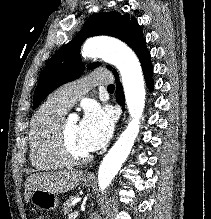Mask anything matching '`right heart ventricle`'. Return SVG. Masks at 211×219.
I'll return each instance as SVG.
<instances>
[{
  "mask_svg": "<svg viewBox=\"0 0 211 219\" xmlns=\"http://www.w3.org/2000/svg\"><path fill=\"white\" fill-rule=\"evenodd\" d=\"M66 111L49 98L32 117L29 156L33 167L39 171L58 170L70 165L60 156L55 144L56 127Z\"/></svg>",
  "mask_w": 211,
  "mask_h": 219,
  "instance_id": "1",
  "label": "right heart ventricle"
}]
</instances>
